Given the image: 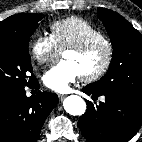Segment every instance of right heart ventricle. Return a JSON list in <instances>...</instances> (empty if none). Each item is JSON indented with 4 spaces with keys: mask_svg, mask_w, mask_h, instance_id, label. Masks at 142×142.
<instances>
[{
    "mask_svg": "<svg viewBox=\"0 0 142 142\" xmlns=\"http://www.w3.org/2000/svg\"><path fill=\"white\" fill-rule=\"evenodd\" d=\"M50 30L60 50L90 39H107L98 27L78 16L58 20L51 25Z\"/></svg>",
    "mask_w": 142,
    "mask_h": 142,
    "instance_id": "right-heart-ventricle-1",
    "label": "right heart ventricle"
}]
</instances>
